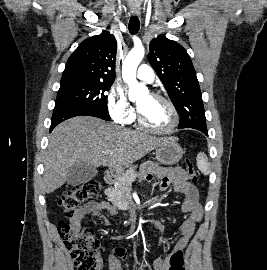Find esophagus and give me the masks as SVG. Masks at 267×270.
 Segmentation results:
<instances>
[{
  "label": "esophagus",
  "instance_id": "obj_1",
  "mask_svg": "<svg viewBox=\"0 0 267 270\" xmlns=\"http://www.w3.org/2000/svg\"><path fill=\"white\" fill-rule=\"evenodd\" d=\"M131 13L134 15V16H139L140 15V9L137 8V7H133L131 9Z\"/></svg>",
  "mask_w": 267,
  "mask_h": 270
}]
</instances>
